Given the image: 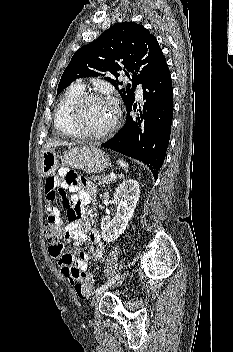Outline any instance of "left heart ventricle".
<instances>
[{
    "mask_svg": "<svg viewBox=\"0 0 233 352\" xmlns=\"http://www.w3.org/2000/svg\"><path fill=\"white\" fill-rule=\"evenodd\" d=\"M113 117L114 109L108 101L91 100L83 105L79 123L85 131L99 132L111 124Z\"/></svg>",
    "mask_w": 233,
    "mask_h": 352,
    "instance_id": "obj_1",
    "label": "left heart ventricle"
}]
</instances>
